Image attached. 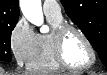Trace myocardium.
Segmentation results:
<instances>
[{"label":"myocardium","instance_id":"myocardium-1","mask_svg":"<svg viewBox=\"0 0 107 75\" xmlns=\"http://www.w3.org/2000/svg\"><path fill=\"white\" fill-rule=\"evenodd\" d=\"M70 31L76 32L82 38V40L85 42L90 52L91 59L89 63H87L86 65L73 66L68 63V61L64 56V49H63L64 38L66 34ZM53 49H54V57L56 62L59 64L61 68H64L66 70L75 71V72L85 71L90 69L96 62V51L92 42L80 28L71 24H62L54 30Z\"/></svg>","mask_w":107,"mask_h":75}]
</instances>
